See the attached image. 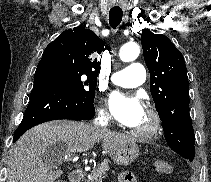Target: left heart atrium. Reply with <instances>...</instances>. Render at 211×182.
Instances as JSON below:
<instances>
[{
  "label": "left heart atrium",
  "instance_id": "left-heart-atrium-1",
  "mask_svg": "<svg viewBox=\"0 0 211 182\" xmlns=\"http://www.w3.org/2000/svg\"><path fill=\"white\" fill-rule=\"evenodd\" d=\"M108 104L114 118L127 127L136 126L145 113L137 96L118 91L109 95Z\"/></svg>",
  "mask_w": 211,
  "mask_h": 182
}]
</instances>
